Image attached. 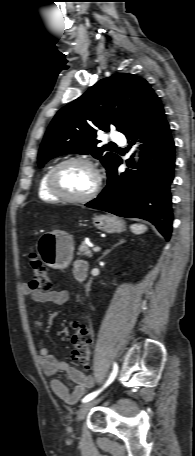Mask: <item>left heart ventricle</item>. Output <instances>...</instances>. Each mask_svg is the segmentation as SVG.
<instances>
[{
	"instance_id": "obj_1",
	"label": "left heart ventricle",
	"mask_w": 195,
	"mask_h": 456,
	"mask_svg": "<svg viewBox=\"0 0 195 456\" xmlns=\"http://www.w3.org/2000/svg\"><path fill=\"white\" fill-rule=\"evenodd\" d=\"M59 187L68 195L84 196L95 184V176L91 168L81 163L64 166L57 177Z\"/></svg>"
}]
</instances>
